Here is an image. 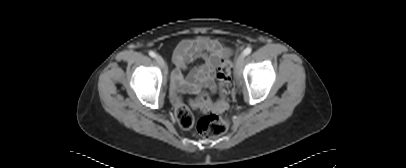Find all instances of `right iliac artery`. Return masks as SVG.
Instances as JSON below:
<instances>
[{
	"label": "right iliac artery",
	"mask_w": 406,
	"mask_h": 168,
	"mask_svg": "<svg viewBox=\"0 0 406 168\" xmlns=\"http://www.w3.org/2000/svg\"><path fill=\"white\" fill-rule=\"evenodd\" d=\"M149 55H150L151 57H153V58L156 57V54H155L153 51H150V52H149Z\"/></svg>",
	"instance_id": "obj_1"
}]
</instances>
